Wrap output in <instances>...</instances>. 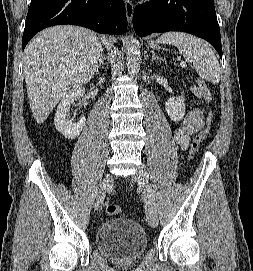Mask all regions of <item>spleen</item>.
I'll return each instance as SVG.
<instances>
[{"label": "spleen", "instance_id": "3e777b00", "mask_svg": "<svg viewBox=\"0 0 253 271\" xmlns=\"http://www.w3.org/2000/svg\"><path fill=\"white\" fill-rule=\"evenodd\" d=\"M158 43L174 45L190 59L200 78L217 84L220 81V65L214 51L201 39L183 32H166Z\"/></svg>", "mask_w": 253, "mask_h": 271}]
</instances>
